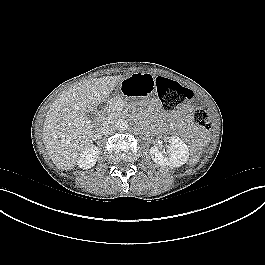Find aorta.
I'll return each instance as SVG.
<instances>
[{"instance_id":"762f6f07","label":"aorta","mask_w":265,"mask_h":265,"mask_svg":"<svg viewBox=\"0 0 265 265\" xmlns=\"http://www.w3.org/2000/svg\"><path fill=\"white\" fill-rule=\"evenodd\" d=\"M115 127L118 130L124 131V130H126L128 128V123L125 120H123V119H118L115 122Z\"/></svg>"}]
</instances>
